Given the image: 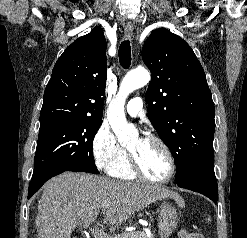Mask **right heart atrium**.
Returning <instances> with one entry per match:
<instances>
[{"label": "right heart atrium", "mask_w": 247, "mask_h": 238, "mask_svg": "<svg viewBox=\"0 0 247 238\" xmlns=\"http://www.w3.org/2000/svg\"><path fill=\"white\" fill-rule=\"evenodd\" d=\"M92 155L98 169L110 172L127 158V152L117 142L110 127L102 123L92 139Z\"/></svg>", "instance_id": "1"}]
</instances>
